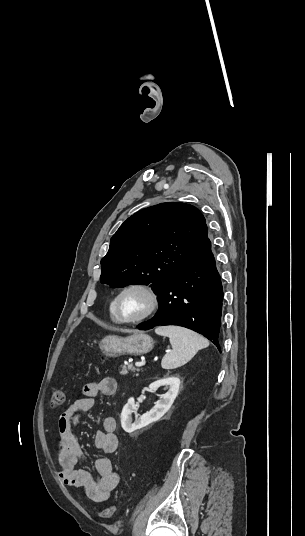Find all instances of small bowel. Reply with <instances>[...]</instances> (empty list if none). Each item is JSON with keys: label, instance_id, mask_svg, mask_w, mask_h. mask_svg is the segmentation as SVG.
I'll list each match as a JSON object with an SVG mask.
<instances>
[{"label": "small bowel", "instance_id": "small-bowel-1", "mask_svg": "<svg viewBox=\"0 0 305 536\" xmlns=\"http://www.w3.org/2000/svg\"><path fill=\"white\" fill-rule=\"evenodd\" d=\"M116 390L117 382L112 377L91 381L83 386L82 397L75 400L58 419L59 461L62 468L59 477L67 486L83 488L87 497L94 502L106 501L118 486L120 477L107 457H100L95 461L98 479L86 469H76L84 461V452L73 434V429L80 422L81 413L94 406L97 395H113ZM102 426L103 429L94 434V444L103 454H112L118 446L114 433L116 421L113 417H106Z\"/></svg>", "mask_w": 305, "mask_h": 536}]
</instances>
